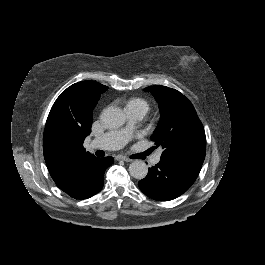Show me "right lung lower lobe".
Returning <instances> with one entry per match:
<instances>
[{
  "instance_id": "right-lung-lower-lobe-1",
  "label": "right lung lower lobe",
  "mask_w": 265,
  "mask_h": 265,
  "mask_svg": "<svg viewBox=\"0 0 265 265\" xmlns=\"http://www.w3.org/2000/svg\"><path fill=\"white\" fill-rule=\"evenodd\" d=\"M113 162V157L98 158L90 164L86 174L61 190L75 199L90 198L102 189L104 172Z\"/></svg>"
}]
</instances>
